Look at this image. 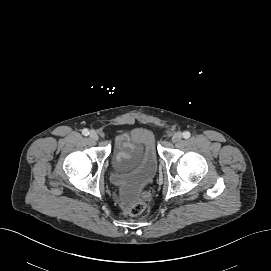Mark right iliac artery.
Wrapping results in <instances>:
<instances>
[{
	"instance_id": "82829eb1",
	"label": "right iliac artery",
	"mask_w": 271,
	"mask_h": 271,
	"mask_svg": "<svg viewBox=\"0 0 271 271\" xmlns=\"http://www.w3.org/2000/svg\"><path fill=\"white\" fill-rule=\"evenodd\" d=\"M82 134L85 135V136L89 135L88 129H83Z\"/></svg>"
}]
</instances>
